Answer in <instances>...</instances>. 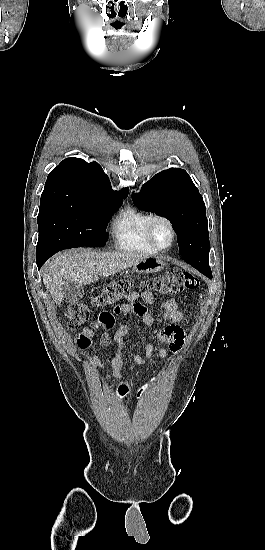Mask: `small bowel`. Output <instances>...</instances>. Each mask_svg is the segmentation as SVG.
Listing matches in <instances>:
<instances>
[{"mask_svg": "<svg viewBox=\"0 0 265 550\" xmlns=\"http://www.w3.org/2000/svg\"><path fill=\"white\" fill-rule=\"evenodd\" d=\"M138 300H142L146 303L155 302V298L151 293H138L132 292L128 295L127 301L122 306V313L127 314L132 311L141 315L144 324L147 327L153 325V319L147 308L143 305L142 309H138L136 304L139 303ZM141 304V303H140ZM164 308V318L167 321L175 323V325L168 326L161 330L157 338L161 344V347L158 350V356L160 359H165L169 352L177 353L179 352L184 344L185 335L183 329L178 325L183 320V315L178 308L177 303L172 300H166L161 303ZM115 324V317L111 324H106L103 326V329L106 331L111 330ZM129 332L128 326L120 327L113 336V343L115 348V355L110 363V370L112 375L119 379L122 376V369L124 366V349H125V336ZM95 336V330L91 327L83 329L75 337L76 345L81 350H86L90 347L93 337ZM155 354V346L153 343L149 342L144 346V353L139 354L135 353L133 355V361L137 365H145ZM90 364L93 367H102L103 363L98 357H92L90 359ZM129 391V385L126 382H122L118 387V395L124 397Z\"/></svg>", "mask_w": 265, "mask_h": 550, "instance_id": "small-bowel-1", "label": "small bowel"}]
</instances>
